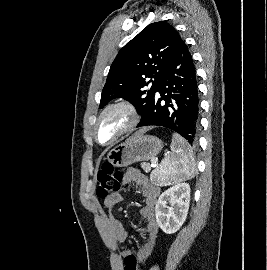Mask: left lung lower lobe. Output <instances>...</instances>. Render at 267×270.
<instances>
[{
	"mask_svg": "<svg viewBox=\"0 0 267 270\" xmlns=\"http://www.w3.org/2000/svg\"><path fill=\"white\" fill-rule=\"evenodd\" d=\"M157 92L160 98L155 97L137 127L163 126L195 146L199 118L198 85L193 60L183 40Z\"/></svg>",
	"mask_w": 267,
	"mask_h": 270,
	"instance_id": "left-lung-lower-lobe-1",
	"label": "left lung lower lobe"
}]
</instances>
